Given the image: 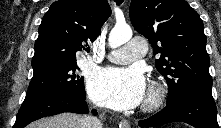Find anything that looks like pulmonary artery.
Wrapping results in <instances>:
<instances>
[{
  "mask_svg": "<svg viewBox=\"0 0 221 128\" xmlns=\"http://www.w3.org/2000/svg\"><path fill=\"white\" fill-rule=\"evenodd\" d=\"M146 49V42L138 38L128 41L120 48L110 52L107 55V58L114 63H131L136 58L140 57L146 51Z\"/></svg>",
  "mask_w": 221,
  "mask_h": 128,
  "instance_id": "obj_1",
  "label": "pulmonary artery"
}]
</instances>
